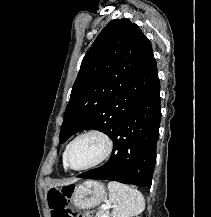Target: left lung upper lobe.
Instances as JSON below:
<instances>
[{
    "mask_svg": "<svg viewBox=\"0 0 211 217\" xmlns=\"http://www.w3.org/2000/svg\"><path fill=\"white\" fill-rule=\"evenodd\" d=\"M151 43L128 19L110 21L85 55L60 131V143L96 129L114 127L158 81Z\"/></svg>",
    "mask_w": 211,
    "mask_h": 217,
    "instance_id": "1",
    "label": "left lung upper lobe"
}]
</instances>
